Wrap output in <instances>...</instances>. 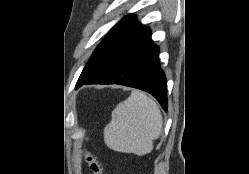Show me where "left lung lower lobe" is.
<instances>
[{
    "mask_svg": "<svg viewBox=\"0 0 249 174\" xmlns=\"http://www.w3.org/2000/svg\"><path fill=\"white\" fill-rule=\"evenodd\" d=\"M159 48L144 27L126 41L109 62L90 78H80L76 89L84 84H120L152 94L167 111V81L158 60Z\"/></svg>",
    "mask_w": 249,
    "mask_h": 174,
    "instance_id": "0a47b994",
    "label": "left lung lower lobe"
}]
</instances>
